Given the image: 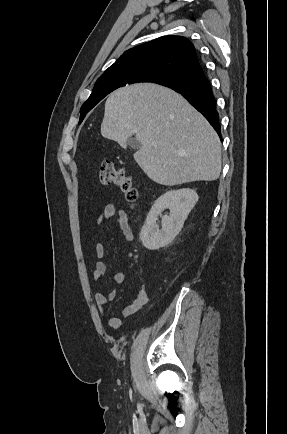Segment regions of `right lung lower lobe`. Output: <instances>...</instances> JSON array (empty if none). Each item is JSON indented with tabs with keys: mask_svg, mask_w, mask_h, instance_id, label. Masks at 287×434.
<instances>
[{
	"mask_svg": "<svg viewBox=\"0 0 287 434\" xmlns=\"http://www.w3.org/2000/svg\"><path fill=\"white\" fill-rule=\"evenodd\" d=\"M166 86L187 99L209 121L221 137L216 99L202 66L199 65L187 71L178 81Z\"/></svg>",
	"mask_w": 287,
	"mask_h": 434,
	"instance_id": "obj_1",
	"label": "right lung lower lobe"
}]
</instances>
